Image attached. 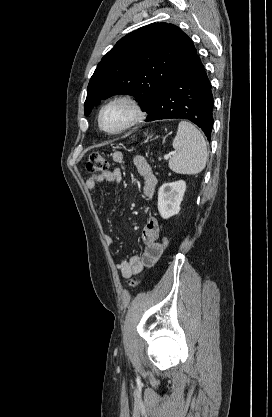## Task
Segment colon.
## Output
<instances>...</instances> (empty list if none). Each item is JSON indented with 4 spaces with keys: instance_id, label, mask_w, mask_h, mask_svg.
<instances>
[{
    "instance_id": "1",
    "label": "colon",
    "mask_w": 272,
    "mask_h": 417,
    "mask_svg": "<svg viewBox=\"0 0 272 417\" xmlns=\"http://www.w3.org/2000/svg\"><path fill=\"white\" fill-rule=\"evenodd\" d=\"M110 168V163L109 161L102 156L100 153L97 152H93L89 155L88 157V161L86 164V169L89 172L92 173H96V172H106L108 171ZM169 243V239L167 237H163L160 241H159V247L162 250H165L168 246ZM138 280L137 279H131L129 281L130 286L132 287H136L138 285Z\"/></svg>"
}]
</instances>
